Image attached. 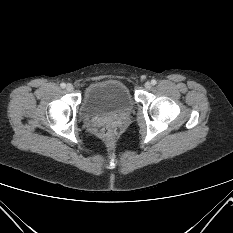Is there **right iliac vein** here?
<instances>
[{
  "label": "right iliac vein",
  "instance_id": "1",
  "mask_svg": "<svg viewBox=\"0 0 233 233\" xmlns=\"http://www.w3.org/2000/svg\"><path fill=\"white\" fill-rule=\"evenodd\" d=\"M66 90H67L68 92H72V91L74 90L73 85H72V84H68V85L66 86Z\"/></svg>",
  "mask_w": 233,
  "mask_h": 233
}]
</instances>
